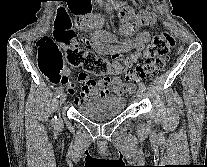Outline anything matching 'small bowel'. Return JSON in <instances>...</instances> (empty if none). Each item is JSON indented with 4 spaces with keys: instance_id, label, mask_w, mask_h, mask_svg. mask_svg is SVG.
Wrapping results in <instances>:
<instances>
[{
    "instance_id": "c3829d8e",
    "label": "small bowel",
    "mask_w": 207,
    "mask_h": 167,
    "mask_svg": "<svg viewBox=\"0 0 207 167\" xmlns=\"http://www.w3.org/2000/svg\"><path fill=\"white\" fill-rule=\"evenodd\" d=\"M68 9H71L73 17L80 19L78 20V24L82 28L86 30L91 28L94 30L89 36H83L81 42L95 53L111 56L114 59L110 65V76L100 81L91 79L87 73H80L78 75V79L83 84V88L76 95L75 103L78 105L83 104L92 96H106L109 94L120 96L133 92L135 90V84L123 83L121 81L118 75L123 71L116 61L130 50L146 49V44L151 41L152 34L149 31L136 33V29L140 25L154 24V15L149 11H142L137 15L126 12L124 14L125 21L121 26L123 38H120L115 33L101 29L97 22L91 24V20L87 17L91 9L90 1H69ZM70 74L71 68L64 65L62 77L58 83L64 85L70 94L75 95L76 86L71 83L69 79Z\"/></svg>"
}]
</instances>
